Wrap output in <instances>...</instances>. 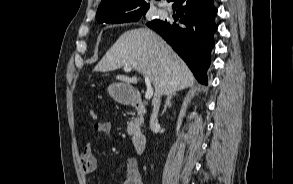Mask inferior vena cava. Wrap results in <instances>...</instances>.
<instances>
[{
	"label": "inferior vena cava",
	"instance_id": "inferior-vena-cava-1",
	"mask_svg": "<svg viewBox=\"0 0 293 184\" xmlns=\"http://www.w3.org/2000/svg\"><path fill=\"white\" fill-rule=\"evenodd\" d=\"M160 97L157 98L155 100V102L153 103V112L150 118V128L154 129L157 125H158V111H159V107H160Z\"/></svg>",
	"mask_w": 293,
	"mask_h": 184
}]
</instances>
